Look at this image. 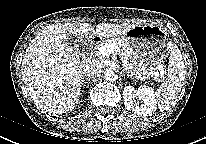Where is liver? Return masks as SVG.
<instances>
[{"label":"liver","mask_w":206,"mask_h":144,"mask_svg":"<svg viewBox=\"0 0 206 144\" xmlns=\"http://www.w3.org/2000/svg\"><path fill=\"white\" fill-rule=\"evenodd\" d=\"M134 24L100 23L94 29L89 23L52 24L31 41L22 62V78L35 104L44 111L62 114L79 103L84 68L91 61L80 59V53L67 41V33L83 42L94 34L119 37Z\"/></svg>","instance_id":"6515ba94"}]
</instances>
